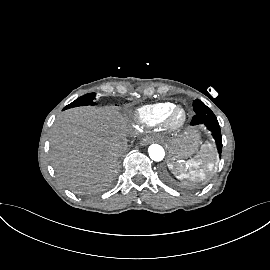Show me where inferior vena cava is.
<instances>
[{"label": "inferior vena cava", "instance_id": "obj_1", "mask_svg": "<svg viewBox=\"0 0 270 270\" xmlns=\"http://www.w3.org/2000/svg\"><path fill=\"white\" fill-rule=\"evenodd\" d=\"M127 146H128L127 145V139H125L122 143L117 145V148H116L117 153L118 154L124 153L127 150Z\"/></svg>", "mask_w": 270, "mask_h": 270}]
</instances>
